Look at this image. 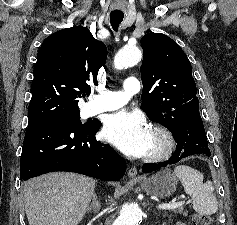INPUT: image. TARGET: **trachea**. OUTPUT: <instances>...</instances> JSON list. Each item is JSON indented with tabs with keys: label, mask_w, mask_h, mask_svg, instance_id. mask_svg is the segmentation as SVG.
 I'll return each instance as SVG.
<instances>
[{
	"label": "trachea",
	"mask_w": 237,
	"mask_h": 225,
	"mask_svg": "<svg viewBox=\"0 0 237 225\" xmlns=\"http://www.w3.org/2000/svg\"><path fill=\"white\" fill-rule=\"evenodd\" d=\"M123 18H124V14L114 13V12L110 13V22H111L112 28L115 31H118V27L123 21Z\"/></svg>",
	"instance_id": "1"
}]
</instances>
